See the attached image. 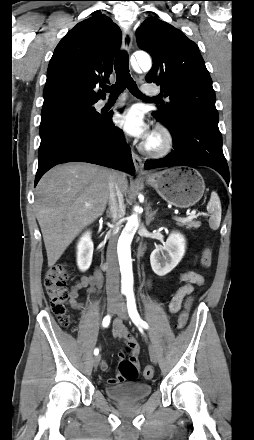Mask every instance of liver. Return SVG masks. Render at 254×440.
<instances>
[{
	"label": "liver",
	"mask_w": 254,
	"mask_h": 440,
	"mask_svg": "<svg viewBox=\"0 0 254 440\" xmlns=\"http://www.w3.org/2000/svg\"><path fill=\"white\" fill-rule=\"evenodd\" d=\"M112 174L116 175L122 193L126 194L128 181L124 173L88 163L58 165L40 179L35 192V210L48 267L59 260L86 226L103 214Z\"/></svg>",
	"instance_id": "6515ba94"
}]
</instances>
